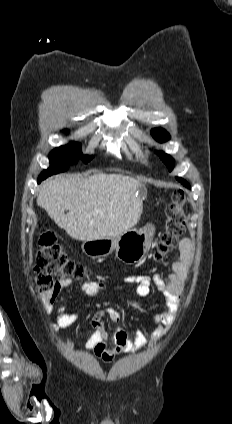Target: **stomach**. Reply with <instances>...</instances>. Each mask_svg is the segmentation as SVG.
I'll return each mask as SVG.
<instances>
[{
    "mask_svg": "<svg viewBox=\"0 0 232 424\" xmlns=\"http://www.w3.org/2000/svg\"><path fill=\"white\" fill-rule=\"evenodd\" d=\"M154 232V228L150 225L140 230L130 229L116 237L84 241L82 250L92 258L108 257L115 252L119 260L136 263L145 256L150 248Z\"/></svg>",
    "mask_w": 232,
    "mask_h": 424,
    "instance_id": "1",
    "label": "stomach"
}]
</instances>
